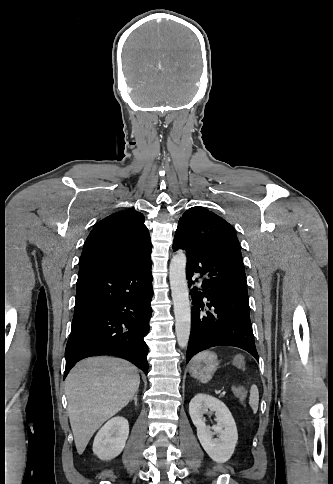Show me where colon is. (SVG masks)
<instances>
[{
    "label": "colon",
    "mask_w": 333,
    "mask_h": 484,
    "mask_svg": "<svg viewBox=\"0 0 333 484\" xmlns=\"http://www.w3.org/2000/svg\"><path fill=\"white\" fill-rule=\"evenodd\" d=\"M234 364L236 367L243 369L245 367L244 358L241 356L236 357L234 359ZM233 392L241 401H244L246 399L247 391L245 387L235 384L233 385Z\"/></svg>",
    "instance_id": "obj_1"
}]
</instances>
